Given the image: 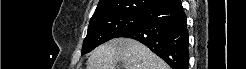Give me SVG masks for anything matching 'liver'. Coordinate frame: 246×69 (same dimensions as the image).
<instances>
[{
  "label": "liver",
  "mask_w": 246,
  "mask_h": 69,
  "mask_svg": "<svg viewBox=\"0 0 246 69\" xmlns=\"http://www.w3.org/2000/svg\"><path fill=\"white\" fill-rule=\"evenodd\" d=\"M168 69V65L148 47L129 38H115L97 47L90 55L87 69Z\"/></svg>",
  "instance_id": "liver-1"
}]
</instances>
